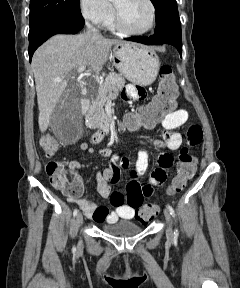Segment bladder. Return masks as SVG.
<instances>
[{"label": "bladder", "mask_w": 240, "mask_h": 288, "mask_svg": "<svg viewBox=\"0 0 240 288\" xmlns=\"http://www.w3.org/2000/svg\"><path fill=\"white\" fill-rule=\"evenodd\" d=\"M102 230L110 235L132 236L139 234L142 227L132 221L123 220L106 224L102 227Z\"/></svg>", "instance_id": "obj_1"}]
</instances>
